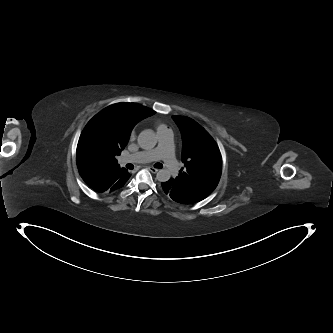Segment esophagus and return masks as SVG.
Returning <instances> with one entry per match:
<instances>
[{
    "label": "esophagus",
    "mask_w": 333,
    "mask_h": 333,
    "mask_svg": "<svg viewBox=\"0 0 333 333\" xmlns=\"http://www.w3.org/2000/svg\"><path fill=\"white\" fill-rule=\"evenodd\" d=\"M148 169L154 174L158 172V169L154 167H148Z\"/></svg>",
    "instance_id": "obj_1"
}]
</instances>
